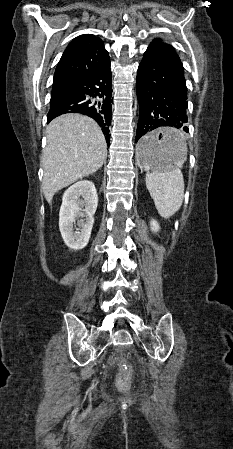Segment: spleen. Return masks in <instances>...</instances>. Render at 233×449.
<instances>
[{
  "instance_id": "spleen-1",
  "label": "spleen",
  "mask_w": 233,
  "mask_h": 449,
  "mask_svg": "<svg viewBox=\"0 0 233 449\" xmlns=\"http://www.w3.org/2000/svg\"><path fill=\"white\" fill-rule=\"evenodd\" d=\"M178 136L184 145V151L187 152L182 135L178 133ZM146 187L163 218H169L180 209L184 197V182L178 166L161 171L153 169L146 175Z\"/></svg>"
}]
</instances>
